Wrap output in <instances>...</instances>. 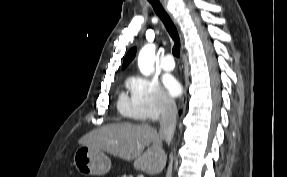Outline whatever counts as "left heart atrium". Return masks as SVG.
<instances>
[{
  "label": "left heart atrium",
  "mask_w": 287,
  "mask_h": 177,
  "mask_svg": "<svg viewBox=\"0 0 287 177\" xmlns=\"http://www.w3.org/2000/svg\"><path fill=\"white\" fill-rule=\"evenodd\" d=\"M163 83L166 90L171 96L177 97L178 95H180L182 91V86L179 80L176 79L174 76L172 75L164 76Z\"/></svg>",
  "instance_id": "39dd6f15"
}]
</instances>
